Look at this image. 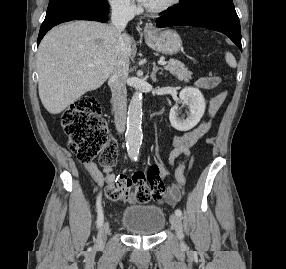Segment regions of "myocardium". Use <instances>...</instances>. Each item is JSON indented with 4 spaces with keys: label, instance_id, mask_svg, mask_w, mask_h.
<instances>
[{
    "label": "myocardium",
    "instance_id": "obj_1",
    "mask_svg": "<svg viewBox=\"0 0 286 269\" xmlns=\"http://www.w3.org/2000/svg\"><path fill=\"white\" fill-rule=\"evenodd\" d=\"M180 0H167L163 4L156 6V7H145L146 12L149 14H160L169 11L175 5L179 3Z\"/></svg>",
    "mask_w": 286,
    "mask_h": 269
}]
</instances>
